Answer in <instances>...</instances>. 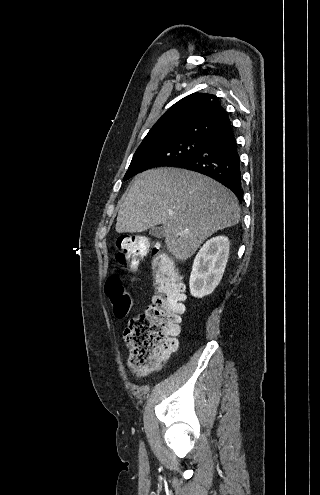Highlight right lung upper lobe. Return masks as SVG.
Returning <instances> with one entry per match:
<instances>
[{
  "label": "right lung upper lobe",
  "instance_id": "1",
  "mask_svg": "<svg viewBox=\"0 0 320 495\" xmlns=\"http://www.w3.org/2000/svg\"><path fill=\"white\" fill-rule=\"evenodd\" d=\"M230 123L227 112L216 96L193 93L171 106L149 130L140 146L185 138L206 139Z\"/></svg>",
  "mask_w": 320,
  "mask_h": 495
}]
</instances>
